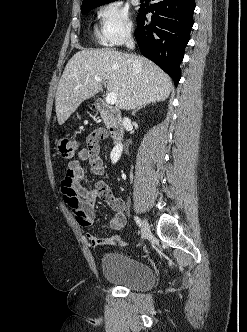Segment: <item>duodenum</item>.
I'll return each instance as SVG.
<instances>
[{
  "mask_svg": "<svg viewBox=\"0 0 247 332\" xmlns=\"http://www.w3.org/2000/svg\"><path fill=\"white\" fill-rule=\"evenodd\" d=\"M94 107L97 112H99L101 116L106 120L109 133L113 142H120L123 138L124 126L117 110L110 107L102 100H97L94 104Z\"/></svg>",
  "mask_w": 247,
  "mask_h": 332,
  "instance_id": "obj_1",
  "label": "duodenum"
}]
</instances>
